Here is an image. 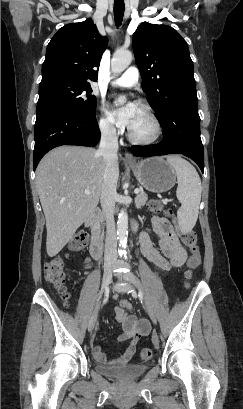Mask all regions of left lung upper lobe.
<instances>
[{
    "label": "left lung upper lobe",
    "mask_w": 243,
    "mask_h": 409,
    "mask_svg": "<svg viewBox=\"0 0 243 409\" xmlns=\"http://www.w3.org/2000/svg\"><path fill=\"white\" fill-rule=\"evenodd\" d=\"M132 40L142 89L159 122L179 105L197 100L188 45L175 29L144 22Z\"/></svg>",
    "instance_id": "1"
}]
</instances>
